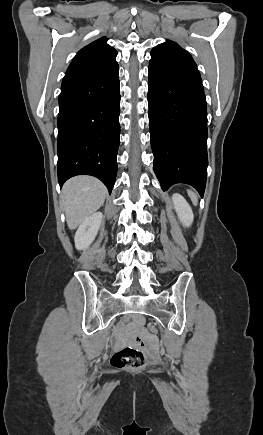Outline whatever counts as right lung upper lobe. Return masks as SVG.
Here are the masks:
<instances>
[{"label":"right lung upper lobe","instance_id":"cb5924a9","mask_svg":"<svg viewBox=\"0 0 263 435\" xmlns=\"http://www.w3.org/2000/svg\"><path fill=\"white\" fill-rule=\"evenodd\" d=\"M117 51L102 37L82 48L69 65L62 83L104 72L117 64Z\"/></svg>","mask_w":263,"mask_h":435}]
</instances>
